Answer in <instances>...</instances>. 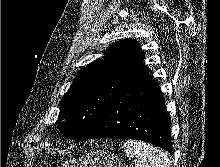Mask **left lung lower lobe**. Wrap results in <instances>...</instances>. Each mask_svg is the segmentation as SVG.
I'll return each instance as SVG.
<instances>
[{"label":"left lung lower lobe","mask_w":220,"mask_h":167,"mask_svg":"<svg viewBox=\"0 0 220 167\" xmlns=\"http://www.w3.org/2000/svg\"><path fill=\"white\" fill-rule=\"evenodd\" d=\"M170 125L160 87L147 74L119 92L83 139L132 138L171 153Z\"/></svg>","instance_id":"1"}]
</instances>
